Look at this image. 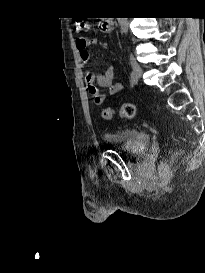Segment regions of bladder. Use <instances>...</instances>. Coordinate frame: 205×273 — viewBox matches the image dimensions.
Segmentation results:
<instances>
[{
	"instance_id": "31cf9c89",
	"label": "bladder",
	"mask_w": 205,
	"mask_h": 273,
	"mask_svg": "<svg viewBox=\"0 0 205 273\" xmlns=\"http://www.w3.org/2000/svg\"><path fill=\"white\" fill-rule=\"evenodd\" d=\"M103 138L116 151L128 156H137L149 149V137L139 129H106Z\"/></svg>"
}]
</instances>
